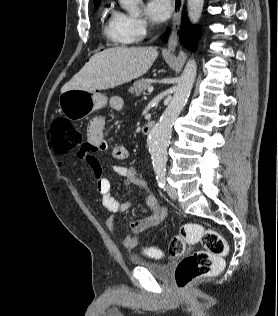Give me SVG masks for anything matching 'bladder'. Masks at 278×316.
<instances>
[{
  "label": "bladder",
  "mask_w": 278,
  "mask_h": 316,
  "mask_svg": "<svg viewBox=\"0 0 278 316\" xmlns=\"http://www.w3.org/2000/svg\"><path fill=\"white\" fill-rule=\"evenodd\" d=\"M132 262L139 267L146 269L153 276L166 279L170 276L173 264L172 263H158L153 261H147L139 258H133Z\"/></svg>",
  "instance_id": "obj_1"
}]
</instances>
